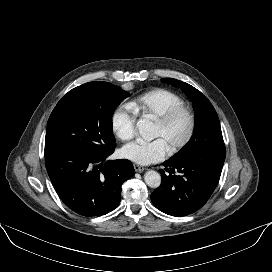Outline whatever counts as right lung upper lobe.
<instances>
[{"label":"right lung upper lobe","mask_w":272,"mask_h":272,"mask_svg":"<svg viewBox=\"0 0 272 272\" xmlns=\"http://www.w3.org/2000/svg\"><path fill=\"white\" fill-rule=\"evenodd\" d=\"M86 88H87V85L83 84L81 86H78V87L72 89L67 94H65L63 96V98L58 103L61 104V103L67 102L71 99H74V98L84 95L86 92Z\"/></svg>","instance_id":"obj_1"}]
</instances>
